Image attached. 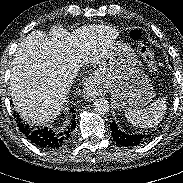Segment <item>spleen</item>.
<instances>
[{"instance_id": "obj_1", "label": "spleen", "mask_w": 183, "mask_h": 183, "mask_svg": "<svg viewBox=\"0 0 183 183\" xmlns=\"http://www.w3.org/2000/svg\"><path fill=\"white\" fill-rule=\"evenodd\" d=\"M166 110V99L159 98L146 108L139 110L129 109L125 111V116L127 120L135 126L150 128L158 125V123L163 119Z\"/></svg>"}]
</instances>
